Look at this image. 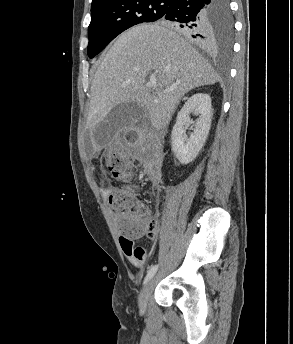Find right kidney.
I'll return each mask as SVG.
<instances>
[{
    "label": "right kidney",
    "instance_id": "ca27d5eb",
    "mask_svg": "<svg viewBox=\"0 0 293 344\" xmlns=\"http://www.w3.org/2000/svg\"><path fill=\"white\" fill-rule=\"evenodd\" d=\"M190 114L198 116L195 122ZM212 119L211 97L205 93L192 95L177 115L172 129V150L181 164L192 162L204 146L209 134ZM194 124V132L185 138V126Z\"/></svg>",
    "mask_w": 293,
    "mask_h": 344
}]
</instances>
